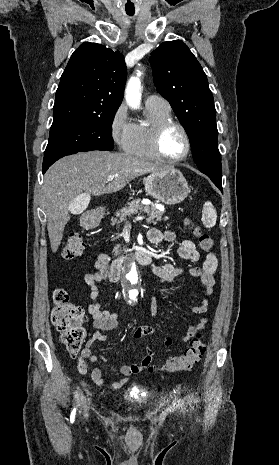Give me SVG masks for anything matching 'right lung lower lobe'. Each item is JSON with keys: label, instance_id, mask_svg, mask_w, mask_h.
Wrapping results in <instances>:
<instances>
[{"label": "right lung lower lobe", "instance_id": "right-lung-lower-lobe-1", "mask_svg": "<svg viewBox=\"0 0 279 465\" xmlns=\"http://www.w3.org/2000/svg\"><path fill=\"white\" fill-rule=\"evenodd\" d=\"M93 150H99V149H93ZM88 151H91V150H88ZM48 168H49V166H47V167H43V173H45V172H46V170H47Z\"/></svg>", "mask_w": 279, "mask_h": 465}]
</instances>
